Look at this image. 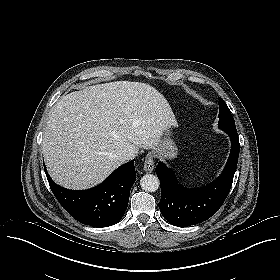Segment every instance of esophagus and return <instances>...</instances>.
I'll return each mask as SVG.
<instances>
[{
	"label": "esophagus",
	"mask_w": 280,
	"mask_h": 280,
	"mask_svg": "<svg viewBox=\"0 0 280 280\" xmlns=\"http://www.w3.org/2000/svg\"><path fill=\"white\" fill-rule=\"evenodd\" d=\"M154 157L152 154H148L145 157V161H144V167L143 170L147 173H151L154 170Z\"/></svg>",
	"instance_id": "obj_1"
}]
</instances>
